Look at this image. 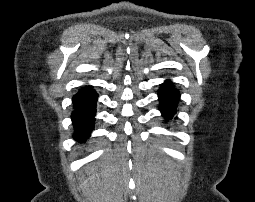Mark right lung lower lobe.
I'll return each instance as SVG.
<instances>
[{
	"label": "right lung lower lobe",
	"mask_w": 255,
	"mask_h": 202,
	"mask_svg": "<svg viewBox=\"0 0 255 202\" xmlns=\"http://www.w3.org/2000/svg\"><path fill=\"white\" fill-rule=\"evenodd\" d=\"M97 99L98 94L92 87L80 89L73 96L74 112L71 115L74 127L73 137L80 143L89 138L94 128Z\"/></svg>",
	"instance_id": "right-lung-lower-lobe-1"
}]
</instances>
